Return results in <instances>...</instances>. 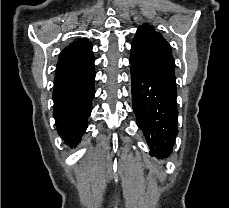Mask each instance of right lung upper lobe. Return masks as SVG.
I'll return each instance as SVG.
<instances>
[{"label": "right lung upper lobe", "instance_id": "cb5924a9", "mask_svg": "<svg viewBox=\"0 0 229 208\" xmlns=\"http://www.w3.org/2000/svg\"><path fill=\"white\" fill-rule=\"evenodd\" d=\"M93 64L92 44L84 38L73 41L59 55L54 89L86 75Z\"/></svg>", "mask_w": 229, "mask_h": 208}]
</instances>
